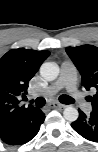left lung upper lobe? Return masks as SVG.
Here are the masks:
<instances>
[{"mask_svg": "<svg viewBox=\"0 0 98 152\" xmlns=\"http://www.w3.org/2000/svg\"><path fill=\"white\" fill-rule=\"evenodd\" d=\"M66 52L81 74L82 85L86 90H93L95 95L88 96L92 111L98 113V48L92 45L67 47Z\"/></svg>", "mask_w": 98, "mask_h": 152, "instance_id": "left-lung-upper-lobe-1", "label": "left lung upper lobe"}]
</instances>
